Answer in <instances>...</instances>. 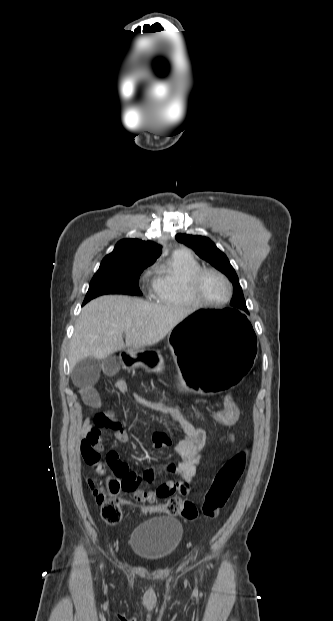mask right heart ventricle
I'll list each match as a JSON object with an SVG mask.
<instances>
[{
	"label": "right heart ventricle",
	"instance_id": "obj_1",
	"mask_svg": "<svg viewBox=\"0 0 333 621\" xmlns=\"http://www.w3.org/2000/svg\"><path fill=\"white\" fill-rule=\"evenodd\" d=\"M200 268L199 263L191 254L173 253L154 271L152 299L172 306L194 305L188 292V282Z\"/></svg>",
	"mask_w": 333,
	"mask_h": 621
}]
</instances>
